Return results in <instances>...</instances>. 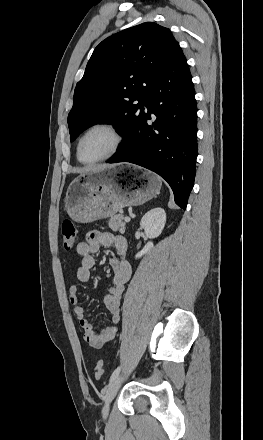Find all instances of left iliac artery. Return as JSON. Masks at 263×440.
<instances>
[{"mask_svg": "<svg viewBox=\"0 0 263 440\" xmlns=\"http://www.w3.org/2000/svg\"><path fill=\"white\" fill-rule=\"evenodd\" d=\"M120 372V367H117L110 377V384L117 378Z\"/></svg>", "mask_w": 263, "mask_h": 440, "instance_id": "1", "label": "left iliac artery"}]
</instances>
